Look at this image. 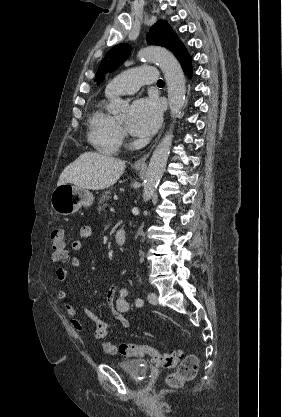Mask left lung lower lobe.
<instances>
[{"instance_id": "obj_1", "label": "left lung lower lobe", "mask_w": 282, "mask_h": 417, "mask_svg": "<svg viewBox=\"0 0 282 417\" xmlns=\"http://www.w3.org/2000/svg\"><path fill=\"white\" fill-rule=\"evenodd\" d=\"M179 60L185 74L190 78L192 76L191 57L183 45L179 46L174 52Z\"/></svg>"}]
</instances>
